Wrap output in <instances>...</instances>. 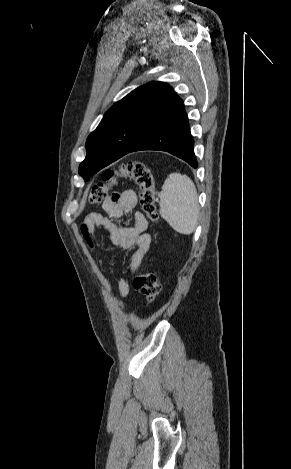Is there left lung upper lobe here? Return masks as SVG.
<instances>
[{
	"label": "left lung upper lobe",
	"mask_w": 291,
	"mask_h": 469,
	"mask_svg": "<svg viewBox=\"0 0 291 469\" xmlns=\"http://www.w3.org/2000/svg\"><path fill=\"white\" fill-rule=\"evenodd\" d=\"M182 102L164 82H149L130 92L105 113L88 136L79 174L88 181L164 122Z\"/></svg>",
	"instance_id": "1"
}]
</instances>
